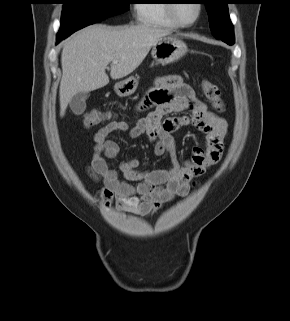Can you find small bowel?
<instances>
[{
    "label": "small bowel",
    "instance_id": "obj_1",
    "mask_svg": "<svg viewBox=\"0 0 290 321\" xmlns=\"http://www.w3.org/2000/svg\"><path fill=\"white\" fill-rule=\"evenodd\" d=\"M152 107L147 115L136 120L132 127L125 121H110L93 136L92 157L86 167L89 177L101 184L104 207L112 204L124 212L150 215L174 197L185 196L194 179L216 164L228 135V122L211 112L179 75L158 77L154 87L142 98L138 111ZM188 112L187 115L173 116ZM194 126L207 136L206 149L193 147L191 158L181 161L173 138L177 130ZM128 131L131 138L146 136L154 144L156 156L166 155L169 169H140L139 161L129 158L114 167L109 160L119 151V144L109 136ZM119 173L135 184L121 181Z\"/></svg>",
    "mask_w": 290,
    "mask_h": 321
}]
</instances>
